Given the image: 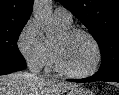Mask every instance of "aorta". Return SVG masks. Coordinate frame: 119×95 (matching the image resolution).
Segmentation results:
<instances>
[{"label":"aorta","mask_w":119,"mask_h":95,"mask_svg":"<svg viewBox=\"0 0 119 95\" xmlns=\"http://www.w3.org/2000/svg\"><path fill=\"white\" fill-rule=\"evenodd\" d=\"M33 15L40 23L47 38L53 37L58 32L59 25L53 18L52 0H35Z\"/></svg>","instance_id":"762f6f07"}]
</instances>
